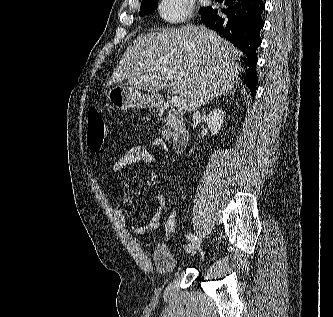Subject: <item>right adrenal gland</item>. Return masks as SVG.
Returning a JSON list of instances; mask_svg holds the SVG:
<instances>
[{
  "instance_id": "obj_1",
  "label": "right adrenal gland",
  "mask_w": 333,
  "mask_h": 317,
  "mask_svg": "<svg viewBox=\"0 0 333 317\" xmlns=\"http://www.w3.org/2000/svg\"><path fill=\"white\" fill-rule=\"evenodd\" d=\"M232 95L234 94L233 92H230ZM219 97V95H217V96H215L214 98H212V100L213 99H215V98H218Z\"/></svg>"
}]
</instances>
